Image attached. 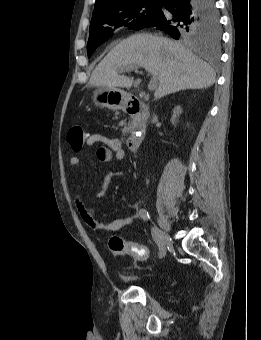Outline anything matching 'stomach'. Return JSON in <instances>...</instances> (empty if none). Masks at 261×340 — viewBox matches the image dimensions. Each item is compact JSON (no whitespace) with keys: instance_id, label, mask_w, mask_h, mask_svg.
Here are the masks:
<instances>
[{"instance_id":"obj_1","label":"stomach","mask_w":261,"mask_h":340,"mask_svg":"<svg viewBox=\"0 0 261 340\" xmlns=\"http://www.w3.org/2000/svg\"><path fill=\"white\" fill-rule=\"evenodd\" d=\"M128 94L119 88L98 87L94 91L93 104L110 110H120L125 107Z\"/></svg>"}]
</instances>
